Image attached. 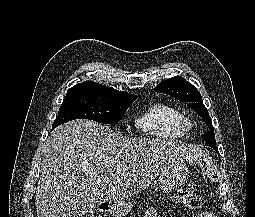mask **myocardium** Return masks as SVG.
I'll return each instance as SVG.
<instances>
[{"label": "myocardium", "mask_w": 255, "mask_h": 217, "mask_svg": "<svg viewBox=\"0 0 255 217\" xmlns=\"http://www.w3.org/2000/svg\"><path fill=\"white\" fill-rule=\"evenodd\" d=\"M183 126L186 130H188V129L192 128L193 123L189 118H184L183 117Z\"/></svg>", "instance_id": "obj_1"}]
</instances>
